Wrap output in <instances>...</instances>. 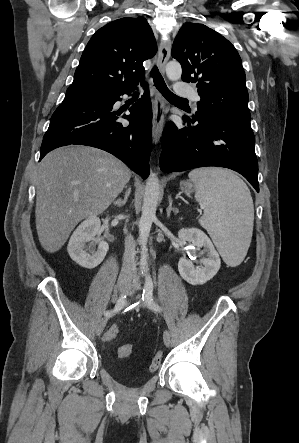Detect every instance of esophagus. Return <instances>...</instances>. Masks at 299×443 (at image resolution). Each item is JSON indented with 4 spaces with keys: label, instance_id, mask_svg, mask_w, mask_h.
Segmentation results:
<instances>
[{
    "label": "esophagus",
    "instance_id": "34e87169",
    "mask_svg": "<svg viewBox=\"0 0 299 443\" xmlns=\"http://www.w3.org/2000/svg\"><path fill=\"white\" fill-rule=\"evenodd\" d=\"M172 42L171 40L162 41L159 46L158 51V65L162 71H164L165 64L167 63L170 52H171ZM165 113L166 107L163 99L157 94L154 98V109H153V128H152V138L154 143H158L163 131L165 123Z\"/></svg>",
    "mask_w": 299,
    "mask_h": 443
}]
</instances>
